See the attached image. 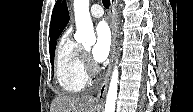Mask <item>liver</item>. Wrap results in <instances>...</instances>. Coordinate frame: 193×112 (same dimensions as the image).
<instances>
[{
	"instance_id": "6515ba94",
	"label": "liver",
	"mask_w": 193,
	"mask_h": 112,
	"mask_svg": "<svg viewBox=\"0 0 193 112\" xmlns=\"http://www.w3.org/2000/svg\"><path fill=\"white\" fill-rule=\"evenodd\" d=\"M51 112H99V105L92 96L57 97Z\"/></svg>"
}]
</instances>
